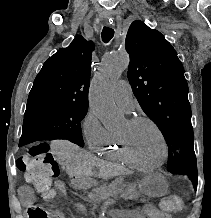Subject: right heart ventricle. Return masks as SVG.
Here are the masks:
<instances>
[{"label": "right heart ventricle", "instance_id": "right-heart-ventricle-1", "mask_svg": "<svg viewBox=\"0 0 211 218\" xmlns=\"http://www.w3.org/2000/svg\"><path fill=\"white\" fill-rule=\"evenodd\" d=\"M97 152L103 156L126 164H131V161L124 154L114 132L108 131L105 139L95 148Z\"/></svg>", "mask_w": 211, "mask_h": 218}]
</instances>
